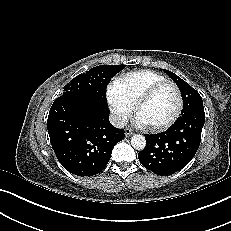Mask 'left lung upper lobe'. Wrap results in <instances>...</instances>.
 <instances>
[{"instance_id": "1", "label": "left lung upper lobe", "mask_w": 231, "mask_h": 231, "mask_svg": "<svg viewBox=\"0 0 231 231\" xmlns=\"http://www.w3.org/2000/svg\"><path fill=\"white\" fill-rule=\"evenodd\" d=\"M163 71L176 82L180 91L182 92L183 97V110L181 112L182 117H180L166 132L167 135L172 136L181 130L180 123L185 115L195 110H204V108L202 97L194 88H192L188 83L173 72L165 69H163Z\"/></svg>"}]
</instances>
